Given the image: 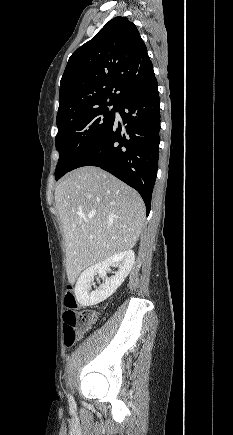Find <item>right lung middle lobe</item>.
<instances>
[{"mask_svg": "<svg viewBox=\"0 0 233 435\" xmlns=\"http://www.w3.org/2000/svg\"><path fill=\"white\" fill-rule=\"evenodd\" d=\"M108 106L102 105L79 115L56 122L58 133L55 138L59 160L55 170L58 180L88 153L106 134L115 120L114 106L109 111Z\"/></svg>", "mask_w": 233, "mask_h": 435, "instance_id": "obj_1", "label": "right lung middle lobe"}]
</instances>
